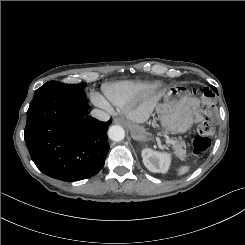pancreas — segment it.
I'll list each match as a JSON object with an SVG mask.
<instances>
[{
	"instance_id": "1",
	"label": "pancreas",
	"mask_w": 245,
	"mask_h": 245,
	"mask_svg": "<svg viewBox=\"0 0 245 245\" xmlns=\"http://www.w3.org/2000/svg\"><path fill=\"white\" fill-rule=\"evenodd\" d=\"M172 148L174 150V154L180 158L181 160H185L186 158V150L183 148L185 144L183 142H179L178 140H173Z\"/></svg>"
}]
</instances>
